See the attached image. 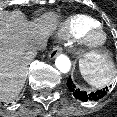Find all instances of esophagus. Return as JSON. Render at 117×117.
<instances>
[{
	"label": "esophagus",
	"mask_w": 117,
	"mask_h": 117,
	"mask_svg": "<svg viewBox=\"0 0 117 117\" xmlns=\"http://www.w3.org/2000/svg\"><path fill=\"white\" fill-rule=\"evenodd\" d=\"M61 52H62V48H61L60 46H55V47L53 48V50L51 51L49 57H50L51 59H53V58H55L56 56H58L59 54H61Z\"/></svg>",
	"instance_id": "1"
}]
</instances>
